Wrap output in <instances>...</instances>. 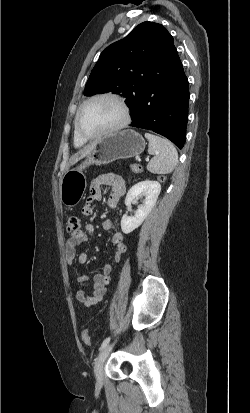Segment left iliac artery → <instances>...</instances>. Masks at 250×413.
<instances>
[{"label": "left iliac artery", "mask_w": 250, "mask_h": 413, "mask_svg": "<svg viewBox=\"0 0 250 413\" xmlns=\"http://www.w3.org/2000/svg\"><path fill=\"white\" fill-rule=\"evenodd\" d=\"M110 339H111L110 337H107V338L103 341V343L101 344L100 350H102L104 347L107 346V344L109 343Z\"/></svg>", "instance_id": "1"}]
</instances>
